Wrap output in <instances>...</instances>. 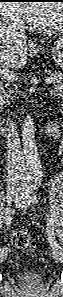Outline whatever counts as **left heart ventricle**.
Returning a JSON list of instances; mask_svg holds the SVG:
<instances>
[{
  "label": "left heart ventricle",
  "instance_id": "left-heart-ventricle-1",
  "mask_svg": "<svg viewBox=\"0 0 63 297\" xmlns=\"http://www.w3.org/2000/svg\"><path fill=\"white\" fill-rule=\"evenodd\" d=\"M35 22L43 23L49 26L58 25L60 21V9L55 4H46L41 6V10L35 16Z\"/></svg>",
  "mask_w": 63,
  "mask_h": 297
}]
</instances>
